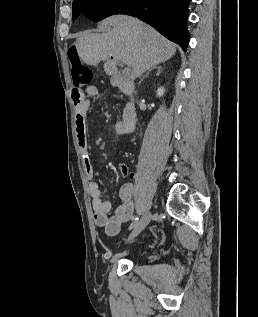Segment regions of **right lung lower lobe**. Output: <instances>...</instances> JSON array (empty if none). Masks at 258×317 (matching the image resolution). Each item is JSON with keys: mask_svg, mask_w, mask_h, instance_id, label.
Segmentation results:
<instances>
[{"mask_svg": "<svg viewBox=\"0 0 258 317\" xmlns=\"http://www.w3.org/2000/svg\"><path fill=\"white\" fill-rule=\"evenodd\" d=\"M190 1L120 0L114 14L136 16L186 50L190 39L186 26ZM82 13L86 15L85 11Z\"/></svg>", "mask_w": 258, "mask_h": 317, "instance_id": "obj_1", "label": "right lung lower lobe"}]
</instances>
